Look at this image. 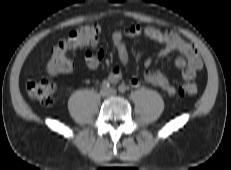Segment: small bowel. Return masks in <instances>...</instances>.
Listing matches in <instances>:
<instances>
[{"instance_id": "c3829d8e", "label": "small bowel", "mask_w": 231, "mask_h": 170, "mask_svg": "<svg viewBox=\"0 0 231 170\" xmlns=\"http://www.w3.org/2000/svg\"><path fill=\"white\" fill-rule=\"evenodd\" d=\"M126 37H145L162 45L160 55H166L172 51H178L181 56L175 61V66L182 73L185 80H192L197 72L201 70L203 63L199 53L194 45L184 40L181 36L173 31L163 32L154 27H142L134 23H126L120 30L114 31L112 34V43L116 49L119 65L114 66L108 75V79L112 83H117L121 77L120 65H125L129 59L128 49L125 43ZM90 50L85 54V61L88 67L97 68L103 59V52L97 50V41L90 43ZM150 65V61L146 62V66ZM144 79L155 87L160 88L169 95L176 92L175 87L170 83L168 78L158 70H146ZM130 84L133 87L139 85V80L135 77L131 78Z\"/></svg>"}]
</instances>
